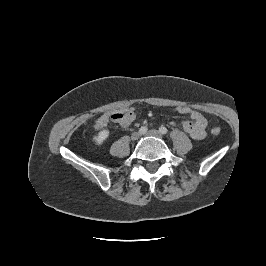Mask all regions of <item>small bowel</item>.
<instances>
[{
  "label": "small bowel",
  "mask_w": 266,
  "mask_h": 266,
  "mask_svg": "<svg viewBox=\"0 0 266 266\" xmlns=\"http://www.w3.org/2000/svg\"><path fill=\"white\" fill-rule=\"evenodd\" d=\"M109 118H110L109 113L102 114L95 122V129L101 130L105 128L108 125ZM134 118L135 116L132 119L122 123L121 125L123 127H127L134 120ZM206 126H207V121L204 118V116L199 112H193L190 115V120L182 122L183 129L194 140H201L206 136V130H205Z\"/></svg>",
  "instance_id": "small-bowel-1"
}]
</instances>
